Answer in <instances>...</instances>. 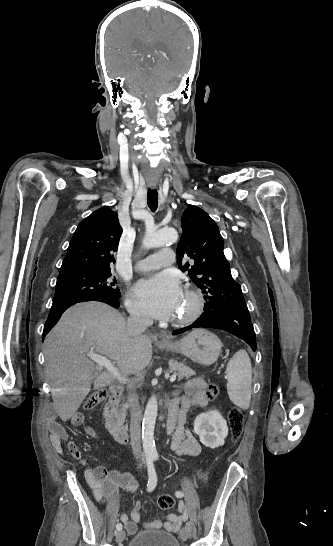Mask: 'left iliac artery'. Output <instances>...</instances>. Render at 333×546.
Returning a JSON list of instances; mask_svg holds the SVG:
<instances>
[{"label":"left iliac artery","mask_w":333,"mask_h":546,"mask_svg":"<svg viewBox=\"0 0 333 546\" xmlns=\"http://www.w3.org/2000/svg\"><path fill=\"white\" fill-rule=\"evenodd\" d=\"M154 458L157 459L158 456L155 455ZM175 495H176V497H182V496H183V493H182L181 491H176V492H175ZM185 519L187 520V516H185ZM186 524H189V522H187ZM189 525H190V524H189Z\"/></svg>","instance_id":"1"}]
</instances>
